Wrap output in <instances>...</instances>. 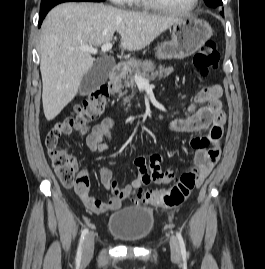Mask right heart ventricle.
<instances>
[{"instance_id":"1","label":"right heart ventricle","mask_w":265,"mask_h":269,"mask_svg":"<svg viewBox=\"0 0 265 269\" xmlns=\"http://www.w3.org/2000/svg\"><path fill=\"white\" fill-rule=\"evenodd\" d=\"M128 3L131 6H134V7H141V8L149 7V5L147 4L146 0H129Z\"/></svg>"}]
</instances>
